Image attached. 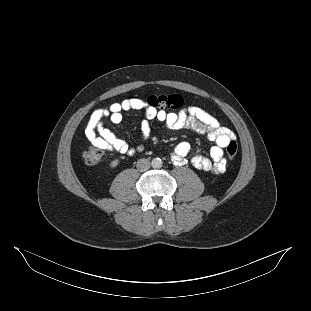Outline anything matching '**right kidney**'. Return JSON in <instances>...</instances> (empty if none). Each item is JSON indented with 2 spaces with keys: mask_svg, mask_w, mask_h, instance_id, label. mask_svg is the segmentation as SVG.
I'll return each instance as SVG.
<instances>
[{
  "mask_svg": "<svg viewBox=\"0 0 311 311\" xmlns=\"http://www.w3.org/2000/svg\"><path fill=\"white\" fill-rule=\"evenodd\" d=\"M119 161L118 160H113L111 163H110V167H116L118 165Z\"/></svg>",
  "mask_w": 311,
  "mask_h": 311,
  "instance_id": "ca27d5eb",
  "label": "right kidney"
}]
</instances>
